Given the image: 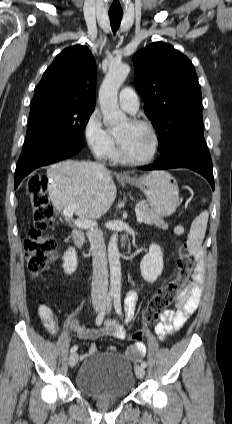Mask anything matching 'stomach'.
Masks as SVG:
<instances>
[{
	"label": "stomach",
	"mask_w": 232,
	"mask_h": 424,
	"mask_svg": "<svg viewBox=\"0 0 232 424\" xmlns=\"http://www.w3.org/2000/svg\"><path fill=\"white\" fill-rule=\"evenodd\" d=\"M126 183L140 188L149 206L161 217L172 215L179 206V189L171 174L153 171L139 178L126 179Z\"/></svg>",
	"instance_id": "stomach-1"
}]
</instances>
